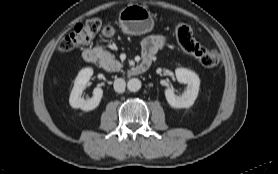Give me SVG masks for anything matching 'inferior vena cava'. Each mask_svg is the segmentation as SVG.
<instances>
[{"label": "inferior vena cava", "instance_id": "602c4592", "mask_svg": "<svg viewBox=\"0 0 278 174\" xmlns=\"http://www.w3.org/2000/svg\"><path fill=\"white\" fill-rule=\"evenodd\" d=\"M114 90L118 93H123L125 91L126 82L122 78H118L114 81Z\"/></svg>", "mask_w": 278, "mask_h": 174}]
</instances>
